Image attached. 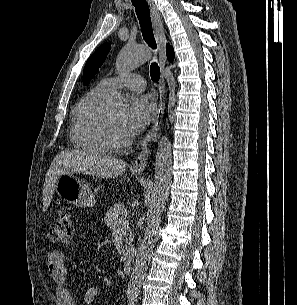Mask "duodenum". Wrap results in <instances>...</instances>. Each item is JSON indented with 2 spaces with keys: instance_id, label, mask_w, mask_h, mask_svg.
Masks as SVG:
<instances>
[{
  "instance_id": "obj_1",
  "label": "duodenum",
  "mask_w": 297,
  "mask_h": 305,
  "mask_svg": "<svg viewBox=\"0 0 297 305\" xmlns=\"http://www.w3.org/2000/svg\"><path fill=\"white\" fill-rule=\"evenodd\" d=\"M135 260V253L133 251L128 252L123 260V270L125 273H130L132 271Z\"/></svg>"
}]
</instances>
